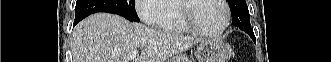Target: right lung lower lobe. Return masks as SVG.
<instances>
[{
	"instance_id": "98d812e1",
	"label": "right lung lower lobe",
	"mask_w": 331,
	"mask_h": 62,
	"mask_svg": "<svg viewBox=\"0 0 331 62\" xmlns=\"http://www.w3.org/2000/svg\"><path fill=\"white\" fill-rule=\"evenodd\" d=\"M78 22L77 21H74V25H76Z\"/></svg>"
}]
</instances>
